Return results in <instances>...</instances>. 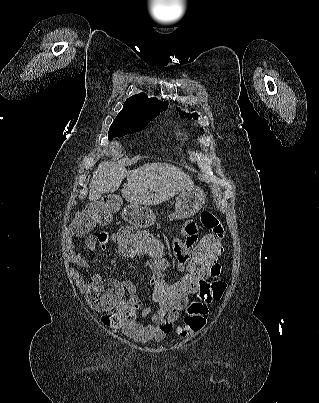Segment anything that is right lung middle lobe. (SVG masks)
Wrapping results in <instances>:
<instances>
[{
    "instance_id": "dd1d6c3e",
    "label": "right lung middle lobe",
    "mask_w": 319,
    "mask_h": 403,
    "mask_svg": "<svg viewBox=\"0 0 319 403\" xmlns=\"http://www.w3.org/2000/svg\"><path fill=\"white\" fill-rule=\"evenodd\" d=\"M156 116L145 120H133L125 117L118 116L114 120L111 128L109 129L108 137L113 139L115 137H121L133 132L143 129L148 122L153 120Z\"/></svg>"
}]
</instances>
